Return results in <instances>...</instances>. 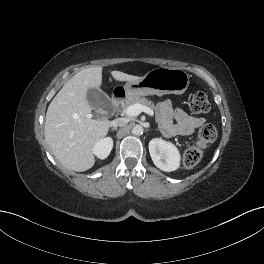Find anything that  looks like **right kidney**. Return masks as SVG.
Masks as SVG:
<instances>
[{
	"label": "right kidney",
	"instance_id": "obj_1",
	"mask_svg": "<svg viewBox=\"0 0 264 264\" xmlns=\"http://www.w3.org/2000/svg\"><path fill=\"white\" fill-rule=\"evenodd\" d=\"M113 148V140L110 137L99 140L93 147V154L99 159H105Z\"/></svg>",
	"mask_w": 264,
	"mask_h": 264
}]
</instances>
